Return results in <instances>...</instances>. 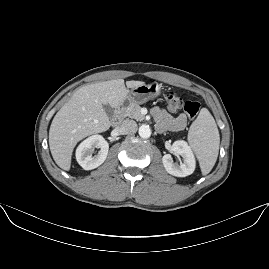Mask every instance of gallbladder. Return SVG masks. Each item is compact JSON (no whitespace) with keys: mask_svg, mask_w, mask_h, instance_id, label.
<instances>
[{"mask_svg":"<svg viewBox=\"0 0 269 269\" xmlns=\"http://www.w3.org/2000/svg\"><path fill=\"white\" fill-rule=\"evenodd\" d=\"M103 108L109 118L113 117L114 110L109 105H104Z\"/></svg>","mask_w":269,"mask_h":269,"instance_id":"obj_1","label":"gallbladder"}]
</instances>
